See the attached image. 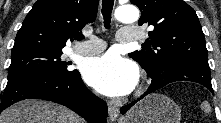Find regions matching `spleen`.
Listing matches in <instances>:
<instances>
[{"label":"spleen","mask_w":221,"mask_h":123,"mask_svg":"<svg viewBox=\"0 0 221 123\" xmlns=\"http://www.w3.org/2000/svg\"><path fill=\"white\" fill-rule=\"evenodd\" d=\"M201 108L207 113L211 111L210 105L207 102H203Z\"/></svg>","instance_id":"3e777b00"}]
</instances>
